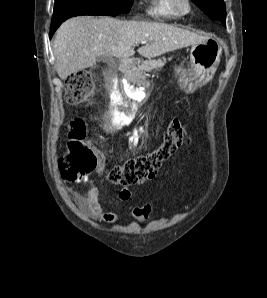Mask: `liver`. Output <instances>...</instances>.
I'll use <instances>...</instances> for the list:
<instances>
[{"instance_id":"liver-1","label":"liver","mask_w":267,"mask_h":298,"mask_svg":"<svg viewBox=\"0 0 267 298\" xmlns=\"http://www.w3.org/2000/svg\"><path fill=\"white\" fill-rule=\"evenodd\" d=\"M206 39L208 36L166 23L79 16L66 20L57 30L53 44L55 69L61 79H66L94 66L98 57H132L133 47L141 41L148 43L140 47L138 53L153 58Z\"/></svg>"}]
</instances>
